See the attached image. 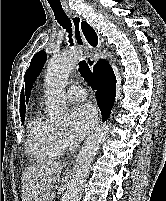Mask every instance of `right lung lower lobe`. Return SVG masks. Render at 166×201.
Listing matches in <instances>:
<instances>
[{
  "mask_svg": "<svg viewBox=\"0 0 166 201\" xmlns=\"http://www.w3.org/2000/svg\"><path fill=\"white\" fill-rule=\"evenodd\" d=\"M95 75L100 84V89L96 92L97 103L101 110L102 120L105 121L114 105L116 77L106 61L101 63Z\"/></svg>",
  "mask_w": 166,
  "mask_h": 201,
  "instance_id": "right-lung-lower-lobe-1",
  "label": "right lung lower lobe"
}]
</instances>
